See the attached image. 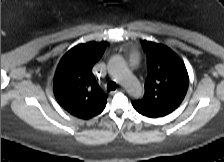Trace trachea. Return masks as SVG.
Returning <instances> with one entry per match:
<instances>
[{
    "mask_svg": "<svg viewBox=\"0 0 224 162\" xmlns=\"http://www.w3.org/2000/svg\"><path fill=\"white\" fill-rule=\"evenodd\" d=\"M117 88V85L115 82L113 81H110L108 84H107V90L108 91H113Z\"/></svg>",
    "mask_w": 224,
    "mask_h": 162,
    "instance_id": "3493384b",
    "label": "trachea"
}]
</instances>
